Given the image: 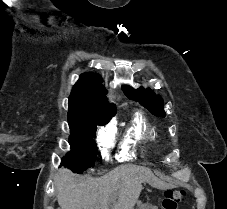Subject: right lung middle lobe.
<instances>
[{
	"label": "right lung middle lobe",
	"mask_w": 227,
	"mask_h": 209,
	"mask_svg": "<svg viewBox=\"0 0 227 209\" xmlns=\"http://www.w3.org/2000/svg\"><path fill=\"white\" fill-rule=\"evenodd\" d=\"M109 120L98 116L68 120L71 132L69 138L71 152L62 159L61 164L67 166L75 173H82L93 167L97 146L92 138L96 137L97 126L105 125Z\"/></svg>",
	"instance_id": "right-lung-middle-lobe-1"
}]
</instances>
